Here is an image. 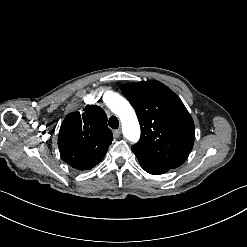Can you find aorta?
Returning <instances> with one entry per match:
<instances>
[{"instance_id": "1", "label": "aorta", "mask_w": 247, "mask_h": 247, "mask_svg": "<svg viewBox=\"0 0 247 247\" xmlns=\"http://www.w3.org/2000/svg\"><path fill=\"white\" fill-rule=\"evenodd\" d=\"M104 99L110 110L120 118L125 138L137 142L140 138V125L130 103L112 91L107 92Z\"/></svg>"}]
</instances>
